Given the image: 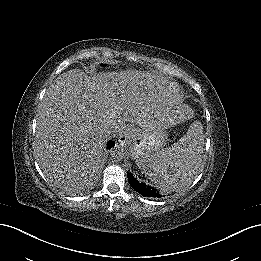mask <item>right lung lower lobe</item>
<instances>
[{
    "mask_svg": "<svg viewBox=\"0 0 261 261\" xmlns=\"http://www.w3.org/2000/svg\"><path fill=\"white\" fill-rule=\"evenodd\" d=\"M114 145H115V142H114V141H110V142L108 143L107 148L110 149V148L113 147Z\"/></svg>",
    "mask_w": 261,
    "mask_h": 261,
    "instance_id": "98d812e1",
    "label": "right lung lower lobe"
}]
</instances>
